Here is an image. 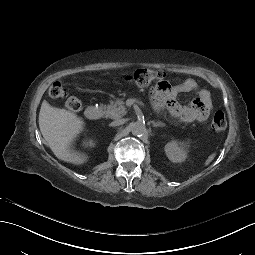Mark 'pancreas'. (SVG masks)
Instances as JSON below:
<instances>
[{
  "mask_svg": "<svg viewBox=\"0 0 255 255\" xmlns=\"http://www.w3.org/2000/svg\"><path fill=\"white\" fill-rule=\"evenodd\" d=\"M126 114V109L124 107L122 100L111 101L107 106L106 116L111 119L121 118Z\"/></svg>",
  "mask_w": 255,
  "mask_h": 255,
  "instance_id": "pancreas-1",
  "label": "pancreas"
}]
</instances>
